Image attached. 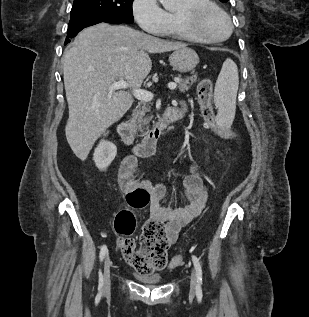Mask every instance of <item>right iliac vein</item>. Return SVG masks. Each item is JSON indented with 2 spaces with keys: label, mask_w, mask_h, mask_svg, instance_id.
<instances>
[{
  "label": "right iliac vein",
  "mask_w": 309,
  "mask_h": 317,
  "mask_svg": "<svg viewBox=\"0 0 309 317\" xmlns=\"http://www.w3.org/2000/svg\"><path fill=\"white\" fill-rule=\"evenodd\" d=\"M110 267H111V260L109 255H107L104 262V273H103V290L104 291H107L110 288V284H111Z\"/></svg>",
  "instance_id": "1"
}]
</instances>
